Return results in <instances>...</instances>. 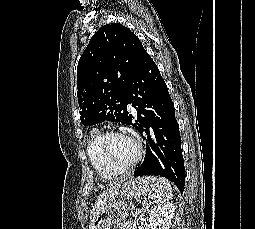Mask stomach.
Wrapping results in <instances>:
<instances>
[{"instance_id":"0dacf381","label":"stomach","mask_w":255,"mask_h":229,"mask_svg":"<svg viewBox=\"0 0 255 229\" xmlns=\"http://www.w3.org/2000/svg\"><path fill=\"white\" fill-rule=\"evenodd\" d=\"M156 187L154 177H142L123 183L119 199H114L90 218L89 229H116L128 216L127 201L151 193Z\"/></svg>"}]
</instances>
